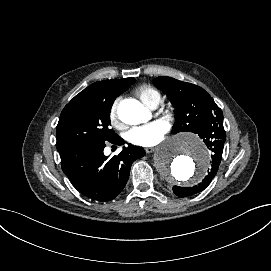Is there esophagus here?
Wrapping results in <instances>:
<instances>
[{"mask_svg": "<svg viewBox=\"0 0 271 271\" xmlns=\"http://www.w3.org/2000/svg\"><path fill=\"white\" fill-rule=\"evenodd\" d=\"M156 149H157L156 147H147L145 148V151L147 154H149V153L154 152Z\"/></svg>", "mask_w": 271, "mask_h": 271, "instance_id": "esophagus-1", "label": "esophagus"}]
</instances>
